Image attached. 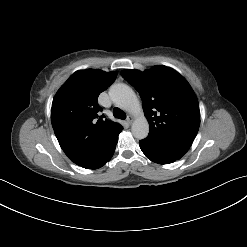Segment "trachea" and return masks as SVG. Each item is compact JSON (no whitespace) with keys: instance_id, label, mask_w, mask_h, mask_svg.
<instances>
[{"instance_id":"1","label":"trachea","mask_w":247,"mask_h":247,"mask_svg":"<svg viewBox=\"0 0 247 247\" xmlns=\"http://www.w3.org/2000/svg\"><path fill=\"white\" fill-rule=\"evenodd\" d=\"M113 115L115 118H119V119H125L126 118V114L118 108H114Z\"/></svg>"}]
</instances>
